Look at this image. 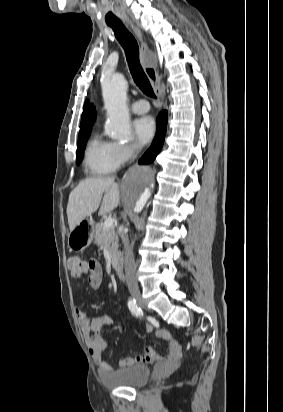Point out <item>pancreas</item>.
I'll use <instances>...</instances> for the list:
<instances>
[{
    "label": "pancreas",
    "instance_id": "pancreas-1",
    "mask_svg": "<svg viewBox=\"0 0 283 412\" xmlns=\"http://www.w3.org/2000/svg\"><path fill=\"white\" fill-rule=\"evenodd\" d=\"M94 242L97 246H106L112 258L118 250V236L114 227L104 229L103 223L95 225L93 231Z\"/></svg>",
    "mask_w": 283,
    "mask_h": 412
}]
</instances>
